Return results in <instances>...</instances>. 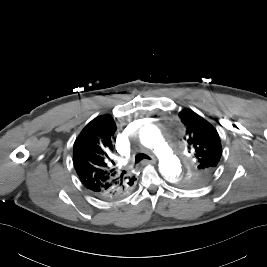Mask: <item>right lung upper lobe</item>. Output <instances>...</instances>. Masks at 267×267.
<instances>
[{
    "label": "right lung upper lobe",
    "mask_w": 267,
    "mask_h": 267,
    "mask_svg": "<svg viewBox=\"0 0 267 267\" xmlns=\"http://www.w3.org/2000/svg\"><path fill=\"white\" fill-rule=\"evenodd\" d=\"M116 131L113 118L103 115L92 120L77 137L73 146V162L82 184L94 195L108 197L124 193L136 179L120 174L111 163L112 135ZM125 173V172H124Z\"/></svg>",
    "instance_id": "right-lung-upper-lobe-1"
}]
</instances>
